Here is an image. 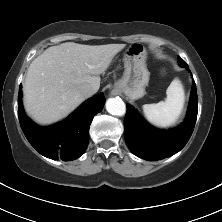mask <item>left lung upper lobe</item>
Returning <instances> with one entry per match:
<instances>
[{"label": "left lung upper lobe", "mask_w": 222, "mask_h": 222, "mask_svg": "<svg viewBox=\"0 0 222 222\" xmlns=\"http://www.w3.org/2000/svg\"><path fill=\"white\" fill-rule=\"evenodd\" d=\"M178 64L183 68H188L187 63L179 56H178Z\"/></svg>", "instance_id": "left-lung-upper-lobe-1"}]
</instances>
